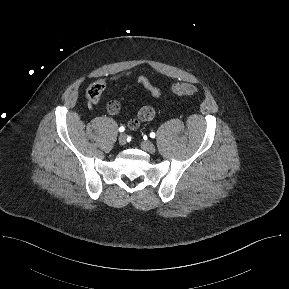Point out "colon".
Here are the masks:
<instances>
[{
  "label": "colon",
  "mask_w": 289,
  "mask_h": 289,
  "mask_svg": "<svg viewBox=\"0 0 289 289\" xmlns=\"http://www.w3.org/2000/svg\"><path fill=\"white\" fill-rule=\"evenodd\" d=\"M105 84L103 81L93 82L87 89V98L92 102H97L103 95ZM198 92L195 85L189 83L177 84L173 87V93L178 96H192ZM111 109L113 107L111 106Z\"/></svg>",
  "instance_id": "obj_1"
}]
</instances>
